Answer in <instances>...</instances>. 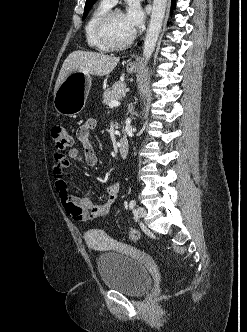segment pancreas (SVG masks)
Returning a JSON list of instances; mask_svg holds the SVG:
<instances>
[{"mask_svg":"<svg viewBox=\"0 0 247 332\" xmlns=\"http://www.w3.org/2000/svg\"><path fill=\"white\" fill-rule=\"evenodd\" d=\"M126 84L118 82L114 84L111 88L106 89L103 93V103L108 105L114 100H119L126 94Z\"/></svg>","mask_w":247,"mask_h":332,"instance_id":"1","label":"pancreas"}]
</instances>
